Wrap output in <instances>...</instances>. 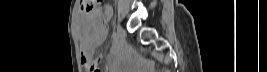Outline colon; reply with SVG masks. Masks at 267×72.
Listing matches in <instances>:
<instances>
[{"label": "colon", "mask_w": 267, "mask_h": 72, "mask_svg": "<svg viewBox=\"0 0 267 72\" xmlns=\"http://www.w3.org/2000/svg\"><path fill=\"white\" fill-rule=\"evenodd\" d=\"M102 0H81L80 5L81 9L84 12H87L92 15L94 26L96 27L99 34L102 33L104 28L103 22V12L100 7ZM89 70L92 72H100L99 61L92 60L89 62Z\"/></svg>", "instance_id": "colon-1"}]
</instances>
